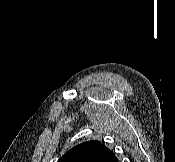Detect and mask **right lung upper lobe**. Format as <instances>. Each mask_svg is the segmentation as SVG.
I'll return each instance as SVG.
<instances>
[{
	"mask_svg": "<svg viewBox=\"0 0 175 162\" xmlns=\"http://www.w3.org/2000/svg\"><path fill=\"white\" fill-rule=\"evenodd\" d=\"M57 162H118V159L99 141L91 140L74 146Z\"/></svg>",
	"mask_w": 175,
	"mask_h": 162,
	"instance_id": "right-lung-upper-lobe-1",
	"label": "right lung upper lobe"
}]
</instances>
